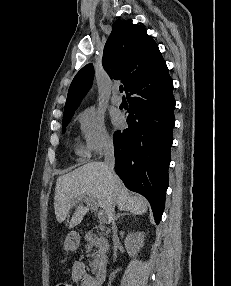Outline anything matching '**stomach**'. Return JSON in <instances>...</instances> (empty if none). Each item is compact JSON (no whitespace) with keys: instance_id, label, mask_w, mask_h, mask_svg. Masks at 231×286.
Instances as JSON below:
<instances>
[{"instance_id":"obj_1","label":"stomach","mask_w":231,"mask_h":286,"mask_svg":"<svg viewBox=\"0 0 231 286\" xmlns=\"http://www.w3.org/2000/svg\"><path fill=\"white\" fill-rule=\"evenodd\" d=\"M80 244V236L77 232H70L65 241H64V249L69 251L76 250L79 247Z\"/></svg>"}]
</instances>
